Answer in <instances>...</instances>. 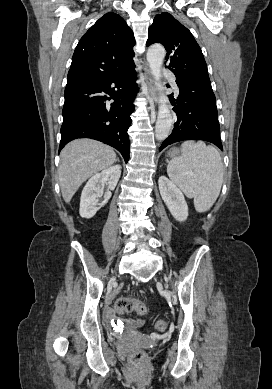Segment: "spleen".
I'll return each mask as SVG.
<instances>
[{"instance_id": "spleen-1", "label": "spleen", "mask_w": 272, "mask_h": 389, "mask_svg": "<svg viewBox=\"0 0 272 389\" xmlns=\"http://www.w3.org/2000/svg\"><path fill=\"white\" fill-rule=\"evenodd\" d=\"M182 155L167 166L169 178L188 198H194L197 212L208 211L219 196L223 182V163L219 152L204 142L186 141Z\"/></svg>"}]
</instances>
